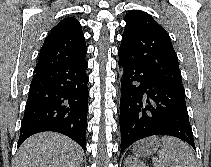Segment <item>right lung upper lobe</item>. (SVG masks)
I'll return each instance as SVG.
<instances>
[{
    "mask_svg": "<svg viewBox=\"0 0 211 167\" xmlns=\"http://www.w3.org/2000/svg\"><path fill=\"white\" fill-rule=\"evenodd\" d=\"M82 28L74 17H66L53 27L41 47L34 72L77 61L86 56Z\"/></svg>",
    "mask_w": 211,
    "mask_h": 167,
    "instance_id": "1",
    "label": "right lung upper lobe"
}]
</instances>
